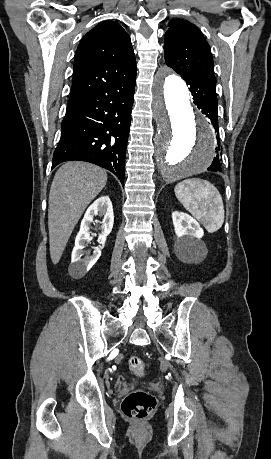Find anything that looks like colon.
<instances>
[{
	"instance_id": "colon-1",
	"label": "colon",
	"mask_w": 271,
	"mask_h": 459,
	"mask_svg": "<svg viewBox=\"0 0 271 459\" xmlns=\"http://www.w3.org/2000/svg\"><path fill=\"white\" fill-rule=\"evenodd\" d=\"M131 373L143 376L145 363L138 356H132L128 360ZM156 407L155 397L141 389L131 391L122 401L121 410L125 417L132 420H143L150 416Z\"/></svg>"
}]
</instances>
